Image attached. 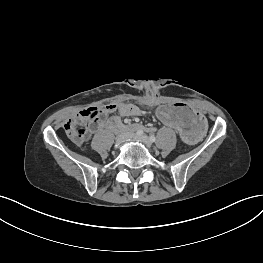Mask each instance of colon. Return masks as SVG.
Segmentation results:
<instances>
[{"instance_id":"5ec220e1","label":"colon","mask_w":263,"mask_h":263,"mask_svg":"<svg viewBox=\"0 0 263 263\" xmlns=\"http://www.w3.org/2000/svg\"><path fill=\"white\" fill-rule=\"evenodd\" d=\"M149 101H153L152 94L148 96ZM114 105H107L103 109L90 108L80 112L76 117L69 119L64 124V130L67 136L75 143H83L88 134L89 129H94L104 114L111 112Z\"/></svg>"}]
</instances>
